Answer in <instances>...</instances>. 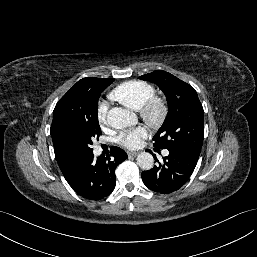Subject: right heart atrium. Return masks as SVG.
<instances>
[{
  "label": "right heart atrium",
  "instance_id": "obj_1",
  "mask_svg": "<svg viewBox=\"0 0 257 257\" xmlns=\"http://www.w3.org/2000/svg\"><path fill=\"white\" fill-rule=\"evenodd\" d=\"M106 113H107V106L105 104H101L98 110V121L101 125L106 123Z\"/></svg>",
  "mask_w": 257,
  "mask_h": 257
}]
</instances>
